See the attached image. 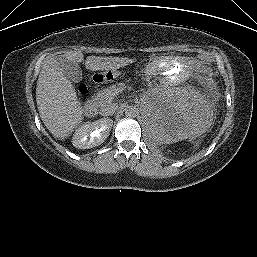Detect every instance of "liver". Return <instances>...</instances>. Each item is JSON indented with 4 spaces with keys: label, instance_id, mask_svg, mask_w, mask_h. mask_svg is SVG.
<instances>
[{
    "label": "liver",
    "instance_id": "6515ba94",
    "mask_svg": "<svg viewBox=\"0 0 257 257\" xmlns=\"http://www.w3.org/2000/svg\"><path fill=\"white\" fill-rule=\"evenodd\" d=\"M63 56L76 65L84 60L81 52L66 51ZM133 62V59L122 57L88 56L85 66L90 71H103L118 69ZM36 102L44 125L60 140L69 137L83 120V109L75 89L64 76L54 54L45 60L40 71Z\"/></svg>",
    "mask_w": 257,
    "mask_h": 257
}]
</instances>
